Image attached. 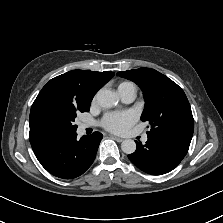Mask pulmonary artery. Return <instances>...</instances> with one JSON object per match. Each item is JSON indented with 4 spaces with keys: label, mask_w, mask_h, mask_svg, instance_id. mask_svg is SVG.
<instances>
[{
    "label": "pulmonary artery",
    "mask_w": 223,
    "mask_h": 223,
    "mask_svg": "<svg viewBox=\"0 0 223 223\" xmlns=\"http://www.w3.org/2000/svg\"><path fill=\"white\" fill-rule=\"evenodd\" d=\"M118 93L124 102H131L136 97V88L132 84L121 85L118 87ZM140 140L142 143L147 144L150 142L151 137L149 134L144 133L141 135Z\"/></svg>",
    "instance_id": "obj_1"
}]
</instances>
